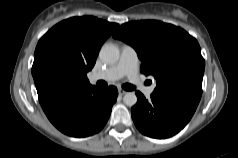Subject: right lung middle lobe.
<instances>
[{
    "label": "right lung middle lobe",
    "mask_w": 238,
    "mask_h": 158,
    "mask_svg": "<svg viewBox=\"0 0 238 158\" xmlns=\"http://www.w3.org/2000/svg\"><path fill=\"white\" fill-rule=\"evenodd\" d=\"M38 72L44 79L56 83H65L69 76L66 61L56 53H48L41 58Z\"/></svg>",
    "instance_id": "obj_1"
}]
</instances>
